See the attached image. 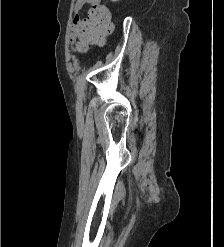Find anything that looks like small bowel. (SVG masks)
Returning a JSON list of instances; mask_svg holds the SVG:
<instances>
[{
  "mask_svg": "<svg viewBox=\"0 0 224 247\" xmlns=\"http://www.w3.org/2000/svg\"><path fill=\"white\" fill-rule=\"evenodd\" d=\"M99 1L100 0H75L73 19L71 23V41L75 43V47L78 50L83 48V44L80 41L79 34L81 26L86 18H82V15L86 12V7L89 6L92 8L94 6H98ZM77 39L79 40V42H76Z\"/></svg>",
  "mask_w": 224,
  "mask_h": 247,
  "instance_id": "1",
  "label": "small bowel"
}]
</instances>
